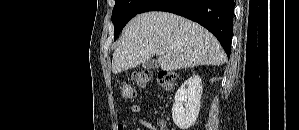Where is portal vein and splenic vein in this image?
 I'll list each match as a JSON object with an SVG mask.
<instances>
[{
  "label": "portal vein and splenic vein",
  "instance_id": "18ae733b",
  "mask_svg": "<svg viewBox=\"0 0 299 130\" xmlns=\"http://www.w3.org/2000/svg\"><path fill=\"white\" fill-rule=\"evenodd\" d=\"M157 54L162 55V54H164V51L160 49L157 51Z\"/></svg>",
  "mask_w": 299,
  "mask_h": 130
}]
</instances>
